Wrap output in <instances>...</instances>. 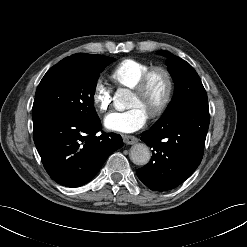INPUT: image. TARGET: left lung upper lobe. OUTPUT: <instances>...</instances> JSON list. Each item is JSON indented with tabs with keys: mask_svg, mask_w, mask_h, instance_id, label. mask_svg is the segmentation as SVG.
<instances>
[{
	"mask_svg": "<svg viewBox=\"0 0 247 247\" xmlns=\"http://www.w3.org/2000/svg\"><path fill=\"white\" fill-rule=\"evenodd\" d=\"M160 53L165 56L170 55V52L164 50H161ZM167 65L175 83V90L162 117L174 115L196 101H207V94L201 80L189 63L177 56H171Z\"/></svg>",
	"mask_w": 247,
	"mask_h": 247,
	"instance_id": "5c2ea615",
	"label": "left lung upper lobe"
}]
</instances>
